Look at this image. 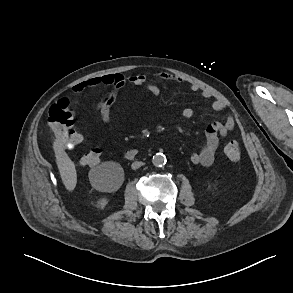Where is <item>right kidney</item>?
Returning a JSON list of instances; mask_svg holds the SVG:
<instances>
[{"label": "right kidney", "mask_w": 293, "mask_h": 293, "mask_svg": "<svg viewBox=\"0 0 293 293\" xmlns=\"http://www.w3.org/2000/svg\"><path fill=\"white\" fill-rule=\"evenodd\" d=\"M102 170V184L99 186L100 190L107 192L116 191L124 181V171L119 163L108 161L101 165ZM107 199L102 198L97 202V207H105Z\"/></svg>", "instance_id": "obj_1"}]
</instances>
